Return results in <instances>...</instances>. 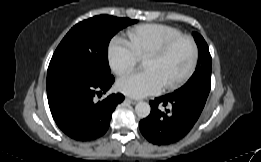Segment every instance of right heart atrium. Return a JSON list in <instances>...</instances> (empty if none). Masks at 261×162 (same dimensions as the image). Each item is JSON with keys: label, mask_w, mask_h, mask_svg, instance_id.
Returning <instances> with one entry per match:
<instances>
[{"label": "right heart atrium", "mask_w": 261, "mask_h": 162, "mask_svg": "<svg viewBox=\"0 0 261 162\" xmlns=\"http://www.w3.org/2000/svg\"><path fill=\"white\" fill-rule=\"evenodd\" d=\"M107 56L110 68L119 76L134 70L139 61L129 42L120 37L112 40Z\"/></svg>", "instance_id": "right-heart-atrium-1"}]
</instances>
